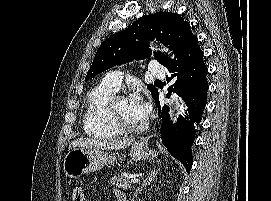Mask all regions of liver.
Here are the masks:
<instances>
[{"label": "liver", "instance_id": "6515ba94", "mask_svg": "<svg viewBox=\"0 0 271 201\" xmlns=\"http://www.w3.org/2000/svg\"><path fill=\"white\" fill-rule=\"evenodd\" d=\"M133 138H112V139H96V138H77L69 146V150L80 147L98 150H118L129 147Z\"/></svg>", "mask_w": 271, "mask_h": 201}]
</instances>
